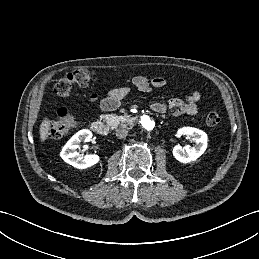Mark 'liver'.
I'll return each mask as SVG.
<instances>
[{"mask_svg": "<svg viewBox=\"0 0 259 259\" xmlns=\"http://www.w3.org/2000/svg\"><path fill=\"white\" fill-rule=\"evenodd\" d=\"M49 130H50V120L47 118H44L39 128L41 142H44L48 138Z\"/></svg>", "mask_w": 259, "mask_h": 259, "instance_id": "obj_1", "label": "liver"}]
</instances>
